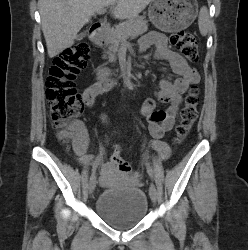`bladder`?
Here are the masks:
<instances>
[{
  "instance_id": "bladder-1",
  "label": "bladder",
  "mask_w": 248,
  "mask_h": 250,
  "mask_svg": "<svg viewBox=\"0 0 248 250\" xmlns=\"http://www.w3.org/2000/svg\"><path fill=\"white\" fill-rule=\"evenodd\" d=\"M95 211L108 225L120 230L130 229L146 216L148 200L140 188L114 186L98 196Z\"/></svg>"
}]
</instances>
